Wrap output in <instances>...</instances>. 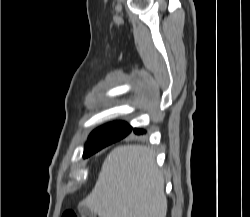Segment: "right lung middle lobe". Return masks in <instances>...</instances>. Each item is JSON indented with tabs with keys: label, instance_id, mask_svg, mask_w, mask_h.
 Instances as JSON below:
<instances>
[{
	"label": "right lung middle lobe",
	"instance_id": "dd1d6c3e",
	"mask_svg": "<svg viewBox=\"0 0 250 217\" xmlns=\"http://www.w3.org/2000/svg\"><path fill=\"white\" fill-rule=\"evenodd\" d=\"M132 131V127L123 121H116L103 125L94 130L85 145L83 157H89L102 148L117 142Z\"/></svg>",
	"mask_w": 250,
	"mask_h": 217
}]
</instances>
